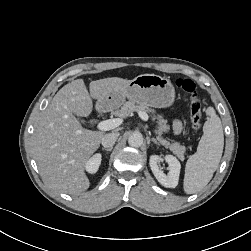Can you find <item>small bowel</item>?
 <instances>
[{
  "label": "small bowel",
  "instance_id": "obj_1",
  "mask_svg": "<svg viewBox=\"0 0 251 251\" xmlns=\"http://www.w3.org/2000/svg\"><path fill=\"white\" fill-rule=\"evenodd\" d=\"M173 129L175 133H179L182 129V124L180 121H176L173 125Z\"/></svg>",
  "mask_w": 251,
  "mask_h": 251
}]
</instances>
